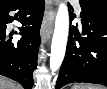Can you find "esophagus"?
<instances>
[{
    "label": "esophagus",
    "mask_w": 107,
    "mask_h": 89,
    "mask_svg": "<svg viewBox=\"0 0 107 89\" xmlns=\"http://www.w3.org/2000/svg\"><path fill=\"white\" fill-rule=\"evenodd\" d=\"M56 10H57V0H48V7L45 11V15L41 27V37L44 43L49 40L53 32Z\"/></svg>",
    "instance_id": "34e87169"
}]
</instances>
